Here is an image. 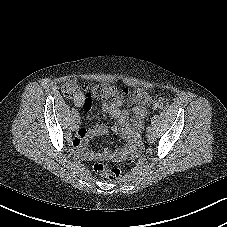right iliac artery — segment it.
Returning a JSON list of instances; mask_svg holds the SVG:
<instances>
[{
  "instance_id": "82829eb1",
  "label": "right iliac artery",
  "mask_w": 227,
  "mask_h": 227,
  "mask_svg": "<svg viewBox=\"0 0 227 227\" xmlns=\"http://www.w3.org/2000/svg\"><path fill=\"white\" fill-rule=\"evenodd\" d=\"M75 120H80V115H75Z\"/></svg>"
}]
</instances>
